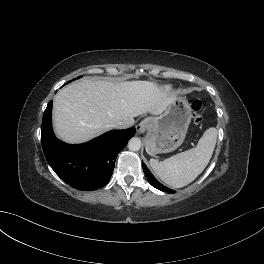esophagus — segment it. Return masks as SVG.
Listing matches in <instances>:
<instances>
[{
	"label": "esophagus",
	"instance_id": "obj_1",
	"mask_svg": "<svg viewBox=\"0 0 264 264\" xmlns=\"http://www.w3.org/2000/svg\"><path fill=\"white\" fill-rule=\"evenodd\" d=\"M149 125L150 121L148 119H144L136 126V130L138 133H144L149 127Z\"/></svg>",
	"mask_w": 264,
	"mask_h": 264
}]
</instances>
